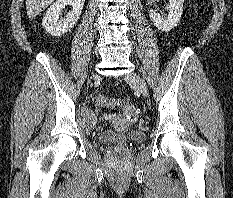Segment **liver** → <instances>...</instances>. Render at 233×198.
<instances>
[{"label": "liver", "mask_w": 233, "mask_h": 198, "mask_svg": "<svg viewBox=\"0 0 233 198\" xmlns=\"http://www.w3.org/2000/svg\"><path fill=\"white\" fill-rule=\"evenodd\" d=\"M55 0H26L27 16L30 20L44 11Z\"/></svg>", "instance_id": "liver-1"}]
</instances>
